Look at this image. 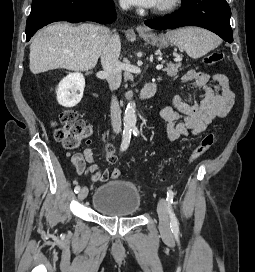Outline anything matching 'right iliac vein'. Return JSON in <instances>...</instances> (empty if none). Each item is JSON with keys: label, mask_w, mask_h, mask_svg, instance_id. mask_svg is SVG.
Masks as SVG:
<instances>
[{"label": "right iliac vein", "mask_w": 255, "mask_h": 272, "mask_svg": "<svg viewBox=\"0 0 255 272\" xmlns=\"http://www.w3.org/2000/svg\"><path fill=\"white\" fill-rule=\"evenodd\" d=\"M87 195H88V188L82 187L78 194V200L79 201L84 200L87 197Z\"/></svg>", "instance_id": "1"}]
</instances>
